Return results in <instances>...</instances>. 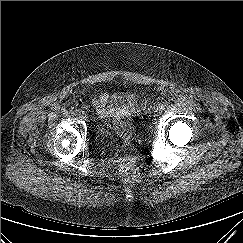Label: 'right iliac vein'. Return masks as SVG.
Wrapping results in <instances>:
<instances>
[{
	"label": "right iliac vein",
	"mask_w": 243,
	"mask_h": 243,
	"mask_svg": "<svg viewBox=\"0 0 243 243\" xmlns=\"http://www.w3.org/2000/svg\"><path fill=\"white\" fill-rule=\"evenodd\" d=\"M79 115H80L81 118H85L86 117L84 112L80 113Z\"/></svg>",
	"instance_id": "1"
}]
</instances>
